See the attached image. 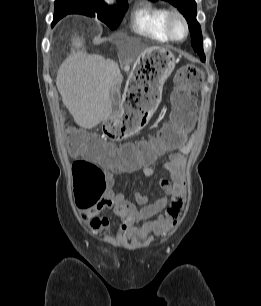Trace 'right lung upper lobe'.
Masks as SVG:
<instances>
[{
  "instance_id": "1",
  "label": "right lung upper lobe",
  "mask_w": 261,
  "mask_h": 306,
  "mask_svg": "<svg viewBox=\"0 0 261 306\" xmlns=\"http://www.w3.org/2000/svg\"><path fill=\"white\" fill-rule=\"evenodd\" d=\"M70 1H74V0H56L55 3L70 2ZM122 1H126V0H122Z\"/></svg>"
}]
</instances>
